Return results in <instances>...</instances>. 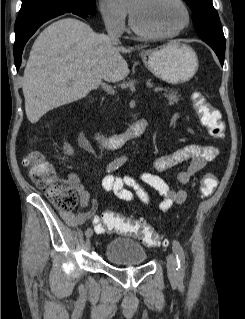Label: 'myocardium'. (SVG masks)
Instances as JSON below:
<instances>
[{"mask_svg":"<svg viewBox=\"0 0 245 319\" xmlns=\"http://www.w3.org/2000/svg\"><path fill=\"white\" fill-rule=\"evenodd\" d=\"M174 1L181 7L185 15L184 23L177 30L173 32H168V33H153V32L146 31L137 24L131 10L128 8L129 23L133 32L143 38L152 39V40L171 39L183 33L189 27L191 22L190 11L188 7L186 6V4L183 2V0H174Z\"/></svg>","mask_w":245,"mask_h":319,"instance_id":"myocardium-1","label":"myocardium"}]
</instances>
